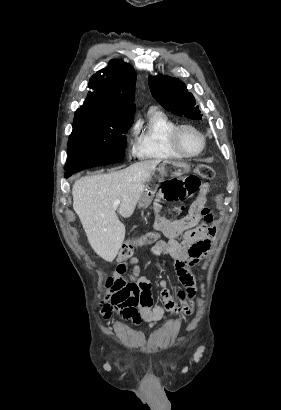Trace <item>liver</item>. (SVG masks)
I'll return each mask as SVG.
<instances>
[{"mask_svg":"<svg viewBox=\"0 0 281 410\" xmlns=\"http://www.w3.org/2000/svg\"><path fill=\"white\" fill-rule=\"evenodd\" d=\"M160 160H145L107 174L85 176L73 184V209L78 215L92 249L112 262L125 238V226L116 210L130 217ZM121 202L114 206V201Z\"/></svg>","mask_w":281,"mask_h":410,"instance_id":"1","label":"liver"}]
</instances>
